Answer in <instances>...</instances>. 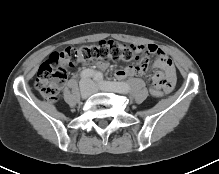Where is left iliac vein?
<instances>
[{
    "label": "left iliac vein",
    "mask_w": 219,
    "mask_h": 174,
    "mask_svg": "<svg viewBox=\"0 0 219 174\" xmlns=\"http://www.w3.org/2000/svg\"><path fill=\"white\" fill-rule=\"evenodd\" d=\"M98 89H101L103 91H112V92H116L110 88H107V87H101V86H94L93 89H92V92L95 93L98 91Z\"/></svg>",
    "instance_id": "left-iliac-vein-1"
}]
</instances>
